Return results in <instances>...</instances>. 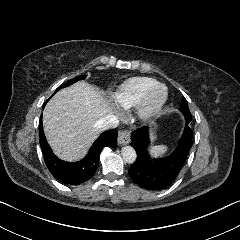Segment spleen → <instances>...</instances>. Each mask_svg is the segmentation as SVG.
<instances>
[{
	"instance_id": "spleen-1",
	"label": "spleen",
	"mask_w": 240,
	"mask_h": 240,
	"mask_svg": "<svg viewBox=\"0 0 240 240\" xmlns=\"http://www.w3.org/2000/svg\"><path fill=\"white\" fill-rule=\"evenodd\" d=\"M169 153L167 145H153L146 148V154L151 161L158 160Z\"/></svg>"
}]
</instances>
